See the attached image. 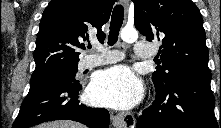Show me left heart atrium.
<instances>
[{"mask_svg":"<svg viewBox=\"0 0 221 128\" xmlns=\"http://www.w3.org/2000/svg\"><path fill=\"white\" fill-rule=\"evenodd\" d=\"M87 95L98 105L129 109L140 101L142 85L130 69L116 66L99 72Z\"/></svg>","mask_w":221,"mask_h":128,"instance_id":"left-heart-atrium-1","label":"left heart atrium"}]
</instances>
